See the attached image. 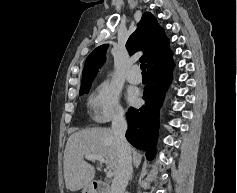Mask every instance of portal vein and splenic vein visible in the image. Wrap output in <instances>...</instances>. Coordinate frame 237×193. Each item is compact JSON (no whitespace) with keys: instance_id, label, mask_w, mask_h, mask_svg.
I'll return each instance as SVG.
<instances>
[{"instance_id":"portal-vein-and-splenic-vein-1","label":"portal vein and splenic vein","mask_w":237,"mask_h":193,"mask_svg":"<svg viewBox=\"0 0 237 193\" xmlns=\"http://www.w3.org/2000/svg\"><path fill=\"white\" fill-rule=\"evenodd\" d=\"M85 158L87 160H98V161H100V163H105V159L101 155L90 154V155H86ZM106 176L108 178H112L113 177V172L112 171H107Z\"/></svg>"}]
</instances>
